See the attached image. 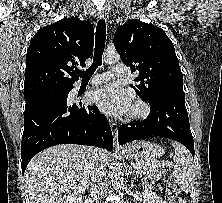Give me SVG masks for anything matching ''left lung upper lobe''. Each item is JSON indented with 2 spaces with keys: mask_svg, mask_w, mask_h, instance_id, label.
<instances>
[{
  "mask_svg": "<svg viewBox=\"0 0 222 203\" xmlns=\"http://www.w3.org/2000/svg\"><path fill=\"white\" fill-rule=\"evenodd\" d=\"M114 45L131 72L139 71L131 85L149 103L160 96H184L183 75L172 41L159 27L136 19L117 28Z\"/></svg>",
  "mask_w": 222,
  "mask_h": 203,
  "instance_id": "1",
  "label": "left lung upper lobe"
}]
</instances>
